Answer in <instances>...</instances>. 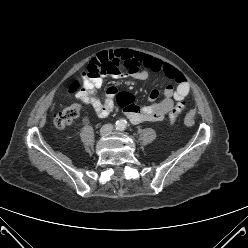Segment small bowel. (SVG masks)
I'll list each match as a JSON object with an SVG mask.
<instances>
[{
	"label": "small bowel",
	"mask_w": 248,
	"mask_h": 248,
	"mask_svg": "<svg viewBox=\"0 0 248 248\" xmlns=\"http://www.w3.org/2000/svg\"><path fill=\"white\" fill-rule=\"evenodd\" d=\"M105 59L112 60L117 69L110 71L115 77L123 76L120 70L127 71L128 74L138 80H145L149 76V71L162 73L168 79L176 83V87L167 86L163 90V99L156 102L158 91L153 90L150 93L149 105L139 107L132 101L125 109L126 117L133 124L142 122L163 120L166 114L180 101H182L189 93L190 87L185 76L172 65L165 63L150 55L133 52L130 50H115L108 53L100 54L91 62L95 65ZM86 76V75H85ZM102 75L88 77L84 79V87L86 94L78 92L77 97L82 98L85 104H90L98 118H106L110 115L114 107L113 98L117 93V89L113 86L107 89L106 98L101 101L96 90L102 86Z\"/></svg>",
	"instance_id": "obj_1"
}]
</instances>
